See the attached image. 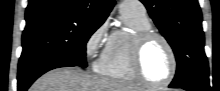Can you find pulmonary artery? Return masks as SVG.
Here are the masks:
<instances>
[{
    "instance_id": "pulmonary-artery-1",
    "label": "pulmonary artery",
    "mask_w": 220,
    "mask_h": 91,
    "mask_svg": "<svg viewBox=\"0 0 220 91\" xmlns=\"http://www.w3.org/2000/svg\"><path fill=\"white\" fill-rule=\"evenodd\" d=\"M121 14H132L146 17V8L140 1H123L120 6Z\"/></svg>"
}]
</instances>
